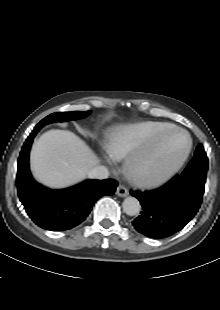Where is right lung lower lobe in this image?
I'll use <instances>...</instances> for the list:
<instances>
[{"label":"right lung lower lobe","instance_id":"right-lung-lower-lobe-1","mask_svg":"<svg viewBox=\"0 0 220 310\" xmlns=\"http://www.w3.org/2000/svg\"><path fill=\"white\" fill-rule=\"evenodd\" d=\"M38 131L35 127L19 155L18 196L36 225L51 231L69 230L86 219L99 198L113 195L118 183L113 179L86 180L64 190H50L38 184L31 176L28 163L30 147Z\"/></svg>","mask_w":220,"mask_h":310}]
</instances>
